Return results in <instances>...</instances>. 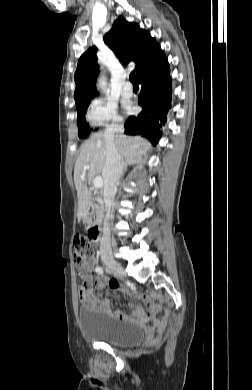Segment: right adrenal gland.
<instances>
[{
    "label": "right adrenal gland",
    "mask_w": 252,
    "mask_h": 390,
    "mask_svg": "<svg viewBox=\"0 0 252 390\" xmlns=\"http://www.w3.org/2000/svg\"><path fill=\"white\" fill-rule=\"evenodd\" d=\"M140 162V159H126L125 160V163H124V171H123V174L124 172L127 170V167L129 165H134L136 163H139Z\"/></svg>",
    "instance_id": "1"
}]
</instances>
